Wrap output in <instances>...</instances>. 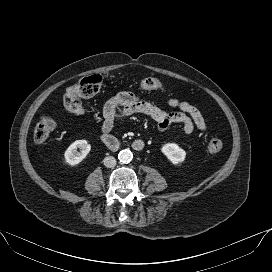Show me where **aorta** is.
Instances as JSON below:
<instances>
[{"mask_svg": "<svg viewBox=\"0 0 272 272\" xmlns=\"http://www.w3.org/2000/svg\"><path fill=\"white\" fill-rule=\"evenodd\" d=\"M133 158V154L129 149L121 150L118 154L120 162L129 163Z\"/></svg>", "mask_w": 272, "mask_h": 272, "instance_id": "obj_1", "label": "aorta"}]
</instances>
